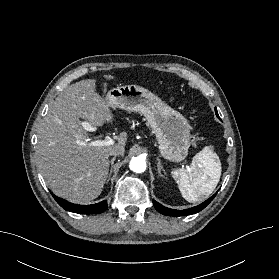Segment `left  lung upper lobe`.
<instances>
[{
    "label": "left lung upper lobe",
    "mask_w": 279,
    "mask_h": 279,
    "mask_svg": "<svg viewBox=\"0 0 279 279\" xmlns=\"http://www.w3.org/2000/svg\"><path fill=\"white\" fill-rule=\"evenodd\" d=\"M215 112H216V115L219 116L216 108H215Z\"/></svg>",
    "instance_id": "left-lung-upper-lobe-1"
}]
</instances>
